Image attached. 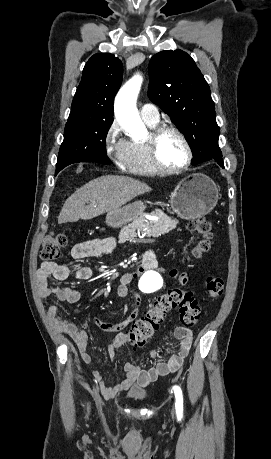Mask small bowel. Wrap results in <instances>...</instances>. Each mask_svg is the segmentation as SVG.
Segmentation results:
<instances>
[{"label": "small bowel", "instance_id": "1", "mask_svg": "<svg viewBox=\"0 0 271 459\" xmlns=\"http://www.w3.org/2000/svg\"><path fill=\"white\" fill-rule=\"evenodd\" d=\"M117 241L114 238L93 239L76 244L71 250V256L75 260H83L86 258L99 257L102 255L111 254L116 250ZM156 260L152 253H147L143 260L142 266L138 273L145 270L156 268ZM70 276V270L67 266L55 262H45L37 272V285L40 296L46 299L50 295H55L59 301L66 303H75L82 297V291L66 286H51V281H65ZM75 278L79 280H88L92 276V270L86 266H78L74 271ZM169 276L176 279L180 285L185 286L189 282V277L184 272L177 270L169 271ZM135 274H124L121 277V284L118 288V295L121 297L127 296L132 280ZM140 300L136 299L132 310L127 317L117 323L104 322L98 318H94V323L101 330L106 332H115L116 335L112 338L108 347V353L112 359H115L116 350L127 342V336L122 332L129 324L133 323L139 312ZM47 317L50 324L57 331L67 334L75 342L80 358L85 364H90L92 358L88 353V336L87 333L79 329L73 323L61 318L57 314V309L54 306L47 308ZM170 336L180 341L179 348L176 353L165 357L163 352L158 350L151 351V357L156 359L165 357L158 362L154 367L145 369L140 365L126 362L124 370L125 378L115 386H109L102 374L98 370L93 371L94 378L99 383L101 395L105 399H111L122 391L128 389L146 388L152 382L160 377L168 376L182 366L185 358L189 355L193 344L192 331L184 326L174 325L170 330Z\"/></svg>", "mask_w": 271, "mask_h": 459}]
</instances>
